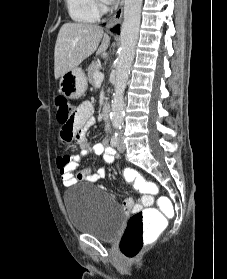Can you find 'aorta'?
<instances>
[{"label": "aorta", "instance_id": "aorta-1", "mask_svg": "<svg viewBox=\"0 0 227 279\" xmlns=\"http://www.w3.org/2000/svg\"><path fill=\"white\" fill-rule=\"evenodd\" d=\"M143 0H125L121 27V47L116 60V81L110 118L114 128H121L124 118V91L138 40Z\"/></svg>", "mask_w": 227, "mask_h": 279}]
</instances>
